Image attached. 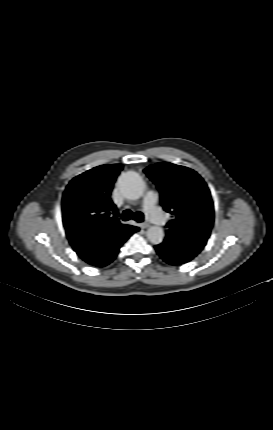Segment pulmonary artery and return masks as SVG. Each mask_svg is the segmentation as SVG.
I'll list each match as a JSON object with an SVG mask.
<instances>
[{
    "instance_id": "1",
    "label": "pulmonary artery",
    "mask_w": 273,
    "mask_h": 430,
    "mask_svg": "<svg viewBox=\"0 0 273 430\" xmlns=\"http://www.w3.org/2000/svg\"><path fill=\"white\" fill-rule=\"evenodd\" d=\"M158 195L155 191H148L144 198V209L148 217L158 225H164V215L157 206Z\"/></svg>"
}]
</instances>
